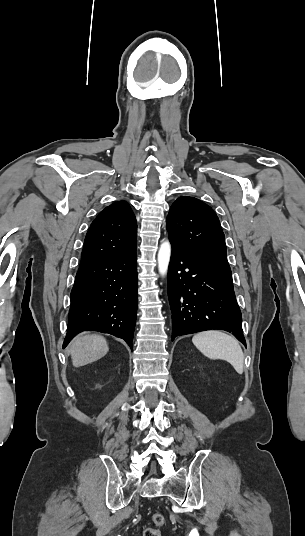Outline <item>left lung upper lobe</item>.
I'll use <instances>...</instances> for the list:
<instances>
[{"label":"left lung upper lobe","mask_w":305,"mask_h":536,"mask_svg":"<svg viewBox=\"0 0 305 536\" xmlns=\"http://www.w3.org/2000/svg\"><path fill=\"white\" fill-rule=\"evenodd\" d=\"M171 244L196 257L228 264L225 237L219 219L201 200L179 197L166 219Z\"/></svg>","instance_id":"left-lung-upper-lobe-1"}]
</instances>
